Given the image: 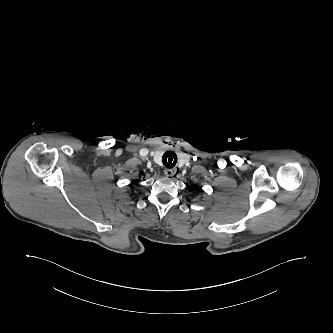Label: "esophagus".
Returning <instances> with one entry per match:
<instances>
[{
	"mask_svg": "<svg viewBox=\"0 0 333 333\" xmlns=\"http://www.w3.org/2000/svg\"><path fill=\"white\" fill-rule=\"evenodd\" d=\"M176 172H177L176 168H171V169L167 168L164 170L165 175L168 177L174 176L176 174Z\"/></svg>",
	"mask_w": 333,
	"mask_h": 333,
	"instance_id": "esophagus-1",
	"label": "esophagus"
}]
</instances>
